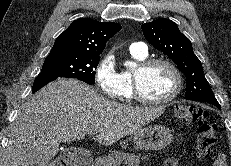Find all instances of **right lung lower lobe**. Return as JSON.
<instances>
[{
	"label": "right lung lower lobe",
	"instance_id": "obj_1",
	"mask_svg": "<svg viewBox=\"0 0 231 166\" xmlns=\"http://www.w3.org/2000/svg\"><path fill=\"white\" fill-rule=\"evenodd\" d=\"M59 78V76L52 75V74H39L36 79L34 80L32 92L35 93L39 89H41L43 86L48 84L49 82Z\"/></svg>",
	"mask_w": 231,
	"mask_h": 166
}]
</instances>
